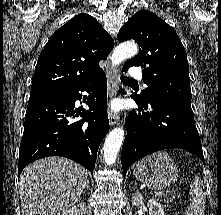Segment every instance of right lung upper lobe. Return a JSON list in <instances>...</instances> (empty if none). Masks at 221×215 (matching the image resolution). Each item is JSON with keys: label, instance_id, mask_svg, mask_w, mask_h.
Here are the masks:
<instances>
[{"label": "right lung upper lobe", "instance_id": "obj_1", "mask_svg": "<svg viewBox=\"0 0 221 215\" xmlns=\"http://www.w3.org/2000/svg\"><path fill=\"white\" fill-rule=\"evenodd\" d=\"M114 40L98 21L78 14L59 28L41 52L29 100L50 97L88 80L101 70Z\"/></svg>", "mask_w": 221, "mask_h": 215}]
</instances>
